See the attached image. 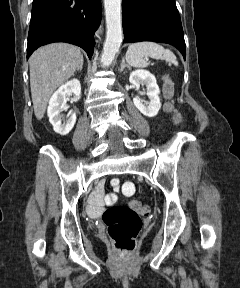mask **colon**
I'll list each match as a JSON object with an SVG mask.
<instances>
[{
  "label": "colon",
  "mask_w": 240,
  "mask_h": 288,
  "mask_svg": "<svg viewBox=\"0 0 240 288\" xmlns=\"http://www.w3.org/2000/svg\"><path fill=\"white\" fill-rule=\"evenodd\" d=\"M171 86L167 84L166 94L171 95ZM172 110V105L166 106ZM131 192L133 187H125ZM149 208L140 201L133 200L128 205H117L107 209L102 219L114 247L124 254L131 253L136 247L137 237L142 227L141 216L147 215Z\"/></svg>",
  "instance_id": "1"
}]
</instances>
